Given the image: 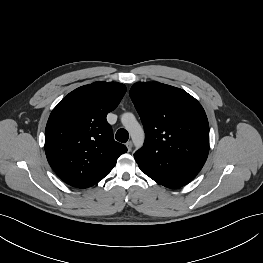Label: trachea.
I'll return each instance as SVG.
<instances>
[{"label":"trachea","mask_w":263,"mask_h":263,"mask_svg":"<svg viewBox=\"0 0 263 263\" xmlns=\"http://www.w3.org/2000/svg\"><path fill=\"white\" fill-rule=\"evenodd\" d=\"M116 140L126 143L129 139V133L125 129H119L115 135Z\"/></svg>","instance_id":"3493384b"}]
</instances>
